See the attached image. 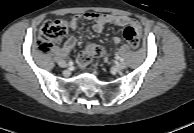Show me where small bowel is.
<instances>
[{"mask_svg":"<svg viewBox=\"0 0 194 133\" xmlns=\"http://www.w3.org/2000/svg\"><path fill=\"white\" fill-rule=\"evenodd\" d=\"M81 19L93 21L92 29L96 33L103 31L104 27L108 24H115L122 27H131L135 30L138 37L141 34V26L138 21L132 17L124 15H114V14H102V13H93L88 12L83 15H77L71 19L68 23L70 29L76 30L79 27ZM77 40L74 36H69L63 44L62 52L63 54H68L76 45ZM113 45L118 46L121 43L119 37H114L112 40ZM93 44L89 43L86 46V49H89ZM104 53V51H103Z\"/></svg>","mask_w":194,"mask_h":133,"instance_id":"small-bowel-1","label":"small bowel"}]
</instances>
